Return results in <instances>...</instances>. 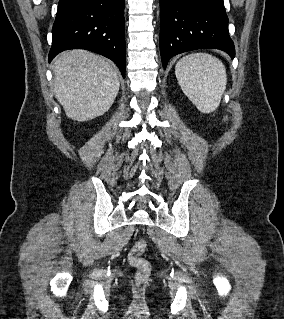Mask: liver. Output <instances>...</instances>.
I'll use <instances>...</instances> for the list:
<instances>
[{"mask_svg": "<svg viewBox=\"0 0 284 319\" xmlns=\"http://www.w3.org/2000/svg\"><path fill=\"white\" fill-rule=\"evenodd\" d=\"M53 72L55 97L66 115L76 121L103 115L119 91L118 69L90 51L74 49L59 54Z\"/></svg>", "mask_w": 284, "mask_h": 319, "instance_id": "1", "label": "liver"}]
</instances>
